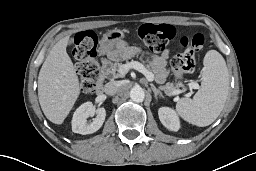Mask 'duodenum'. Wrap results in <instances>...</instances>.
Wrapping results in <instances>:
<instances>
[{
  "instance_id": "1",
  "label": "duodenum",
  "mask_w": 256,
  "mask_h": 171,
  "mask_svg": "<svg viewBox=\"0 0 256 171\" xmlns=\"http://www.w3.org/2000/svg\"><path fill=\"white\" fill-rule=\"evenodd\" d=\"M109 60L106 59V58H103L101 61H100V77H99V80L96 84V93L98 95H101L103 94V91H104V82H105V78H106V70L109 66Z\"/></svg>"
}]
</instances>
